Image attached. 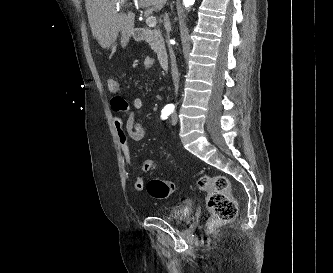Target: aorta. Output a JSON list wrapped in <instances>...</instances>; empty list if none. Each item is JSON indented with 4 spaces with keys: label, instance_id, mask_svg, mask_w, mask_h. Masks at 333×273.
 <instances>
[{
    "label": "aorta",
    "instance_id": "1",
    "mask_svg": "<svg viewBox=\"0 0 333 273\" xmlns=\"http://www.w3.org/2000/svg\"><path fill=\"white\" fill-rule=\"evenodd\" d=\"M194 2H195V0H183V4L186 8L193 5Z\"/></svg>",
    "mask_w": 333,
    "mask_h": 273
}]
</instances>
